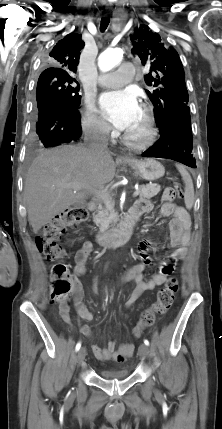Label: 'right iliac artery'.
<instances>
[{"label": "right iliac artery", "instance_id": "82829eb1", "mask_svg": "<svg viewBox=\"0 0 222 429\" xmlns=\"http://www.w3.org/2000/svg\"><path fill=\"white\" fill-rule=\"evenodd\" d=\"M80 347H81V342H78V343H77V345H76L75 350H76V351H79Z\"/></svg>", "mask_w": 222, "mask_h": 429}]
</instances>
